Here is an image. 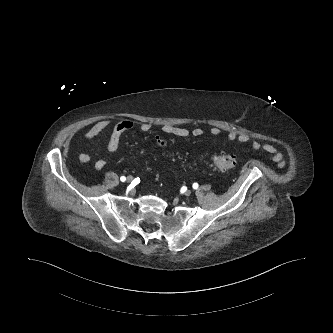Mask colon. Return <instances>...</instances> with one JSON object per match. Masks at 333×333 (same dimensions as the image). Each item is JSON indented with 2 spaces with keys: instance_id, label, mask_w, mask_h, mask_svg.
<instances>
[{
  "instance_id": "5ec220e1",
  "label": "colon",
  "mask_w": 333,
  "mask_h": 333,
  "mask_svg": "<svg viewBox=\"0 0 333 333\" xmlns=\"http://www.w3.org/2000/svg\"><path fill=\"white\" fill-rule=\"evenodd\" d=\"M159 144H164L165 141L159 139ZM237 164L236 158L233 155L221 153L211 159V165L221 171H229L235 168Z\"/></svg>"
}]
</instances>
